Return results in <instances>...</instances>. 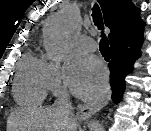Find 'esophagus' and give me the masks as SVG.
<instances>
[{
	"mask_svg": "<svg viewBox=\"0 0 151 131\" xmlns=\"http://www.w3.org/2000/svg\"><path fill=\"white\" fill-rule=\"evenodd\" d=\"M111 97L110 88H107L103 94L96 97L95 99L91 100L90 102L86 103L82 107L79 108L77 112V117L80 120H86L95 114L97 111L102 109L104 106L108 104Z\"/></svg>",
	"mask_w": 151,
	"mask_h": 131,
	"instance_id": "34e87169",
	"label": "esophagus"
}]
</instances>
